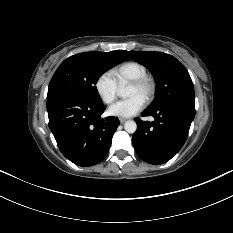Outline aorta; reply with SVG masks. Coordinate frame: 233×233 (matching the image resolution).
Returning a JSON list of instances; mask_svg holds the SVG:
<instances>
[{"instance_id":"1","label":"aorta","mask_w":233,"mask_h":233,"mask_svg":"<svg viewBox=\"0 0 233 233\" xmlns=\"http://www.w3.org/2000/svg\"><path fill=\"white\" fill-rule=\"evenodd\" d=\"M128 95V91L125 88H120L118 91L119 97H126ZM124 129L128 133H134L137 130V124L133 120L126 121L124 124Z\"/></svg>"}]
</instances>
